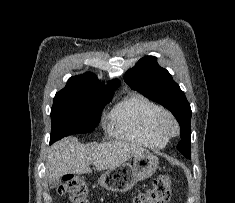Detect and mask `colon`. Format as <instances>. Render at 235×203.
I'll use <instances>...</instances> for the list:
<instances>
[{
    "label": "colon",
    "mask_w": 235,
    "mask_h": 203,
    "mask_svg": "<svg viewBox=\"0 0 235 203\" xmlns=\"http://www.w3.org/2000/svg\"><path fill=\"white\" fill-rule=\"evenodd\" d=\"M58 191L62 195H67L72 203H90L86 184L79 176H64ZM171 196L170 179L159 176L149 188L135 196L132 203H167Z\"/></svg>",
    "instance_id": "obj_1"
}]
</instances>
